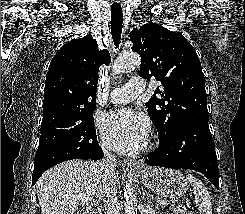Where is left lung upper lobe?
<instances>
[{
  "instance_id": "left-lung-upper-lobe-1",
  "label": "left lung upper lobe",
  "mask_w": 245,
  "mask_h": 214,
  "mask_svg": "<svg viewBox=\"0 0 245 214\" xmlns=\"http://www.w3.org/2000/svg\"><path fill=\"white\" fill-rule=\"evenodd\" d=\"M130 37L141 57L140 75L160 81L163 87L146 103L159 140L170 139L189 123L208 122L204 74L186 38L153 23L134 29Z\"/></svg>"
}]
</instances>
